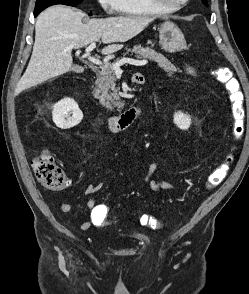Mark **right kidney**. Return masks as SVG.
<instances>
[{
    "label": "right kidney",
    "instance_id": "1",
    "mask_svg": "<svg viewBox=\"0 0 249 294\" xmlns=\"http://www.w3.org/2000/svg\"><path fill=\"white\" fill-rule=\"evenodd\" d=\"M52 119L57 127L70 129L81 122L83 113L74 99L65 98L53 106Z\"/></svg>",
    "mask_w": 249,
    "mask_h": 294
}]
</instances>
